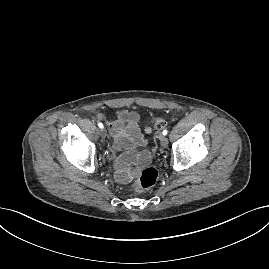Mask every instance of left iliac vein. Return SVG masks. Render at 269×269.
Segmentation results:
<instances>
[{"instance_id":"1","label":"left iliac vein","mask_w":269,"mask_h":269,"mask_svg":"<svg viewBox=\"0 0 269 269\" xmlns=\"http://www.w3.org/2000/svg\"><path fill=\"white\" fill-rule=\"evenodd\" d=\"M159 140H160V144H161L162 147H164V148L167 147L168 139H167V137L165 135H160Z\"/></svg>"}]
</instances>
